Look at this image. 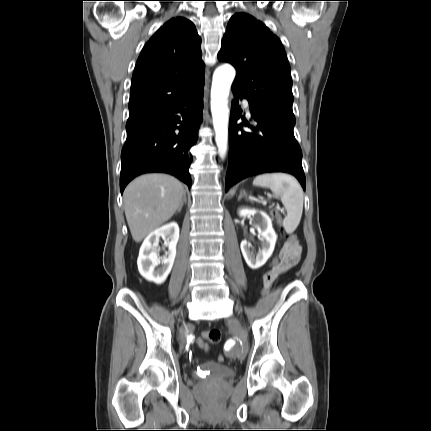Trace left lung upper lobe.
<instances>
[{
    "mask_svg": "<svg viewBox=\"0 0 431 431\" xmlns=\"http://www.w3.org/2000/svg\"><path fill=\"white\" fill-rule=\"evenodd\" d=\"M218 59L234 65L237 74L232 89L249 103L295 118L291 71L284 47L262 22L245 13L235 14L227 26Z\"/></svg>",
    "mask_w": 431,
    "mask_h": 431,
    "instance_id": "5c2ea615",
    "label": "left lung upper lobe"
}]
</instances>
